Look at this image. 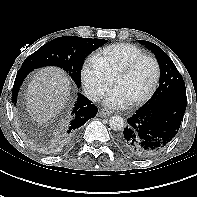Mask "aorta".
<instances>
[{"label": "aorta", "instance_id": "obj_1", "mask_svg": "<svg viewBox=\"0 0 197 197\" xmlns=\"http://www.w3.org/2000/svg\"><path fill=\"white\" fill-rule=\"evenodd\" d=\"M124 125V120L121 116L116 115L109 119V126L114 131H121Z\"/></svg>", "mask_w": 197, "mask_h": 197}]
</instances>
